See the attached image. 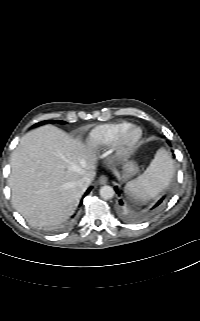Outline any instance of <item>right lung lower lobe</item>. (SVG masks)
Returning <instances> with one entry per match:
<instances>
[{
    "instance_id": "1",
    "label": "right lung lower lobe",
    "mask_w": 200,
    "mask_h": 321,
    "mask_svg": "<svg viewBox=\"0 0 200 321\" xmlns=\"http://www.w3.org/2000/svg\"><path fill=\"white\" fill-rule=\"evenodd\" d=\"M91 188H92V187L88 188V190L86 191L85 194H88V193L90 192Z\"/></svg>"
}]
</instances>
